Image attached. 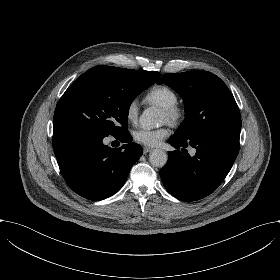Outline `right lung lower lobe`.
Masks as SVG:
<instances>
[{
    "instance_id": "obj_1",
    "label": "right lung lower lobe",
    "mask_w": 280,
    "mask_h": 280,
    "mask_svg": "<svg viewBox=\"0 0 280 280\" xmlns=\"http://www.w3.org/2000/svg\"><path fill=\"white\" fill-rule=\"evenodd\" d=\"M116 138L121 142L132 140L128 131ZM53 150L68 186L80 196L95 201L120 190L143 152L136 143L113 149L103 144V138L82 133L53 135Z\"/></svg>"
}]
</instances>
